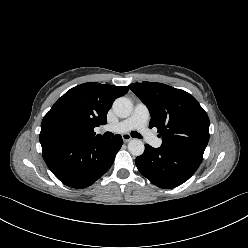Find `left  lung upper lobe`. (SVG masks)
I'll return each instance as SVG.
<instances>
[{"label": "left lung upper lobe", "mask_w": 248, "mask_h": 248, "mask_svg": "<svg viewBox=\"0 0 248 248\" xmlns=\"http://www.w3.org/2000/svg\"><path fill=\"white\" fill-rule=\"evenodd\" d=\"M129 88L151 114L149 127H157L166 150L203 157L209 141V118L189 93L155 83H133Z\"/></svg>", "instance_id": "1"}]
</instances>
